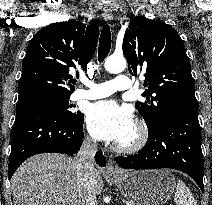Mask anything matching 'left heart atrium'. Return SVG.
Returning <instances> with one entry per match:
<instances>
[{"label": "left heart atrium", "mask_w": 212, "mask_h": 205, "mask_svg": "<svg viewBox=\"0 0 212 205\" xmlns=\"http://www.w3.org/2000/svg\"><path fill=\"white\" fill-rule=\"evenodd\" d=\"M87 126L96 139L120 142L133 131L135 123L128 107L106 100L90 106Z\"/></svg>", "instance_id": "left-heart-atrium-1"}]
</instances>
